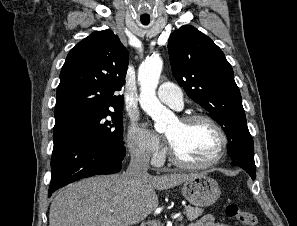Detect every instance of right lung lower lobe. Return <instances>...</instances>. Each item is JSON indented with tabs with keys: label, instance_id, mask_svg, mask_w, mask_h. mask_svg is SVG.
<instances>
[{
	"label": "right lung lower lobe",
	"instance_id": "right-lung-lower-lobe-1",
	"mask_svg": "<svg viewBox=\"0 0 297 226\" xmlns=\"http://www.w3.org/2000/svg\"><path fill=\"white\" fill-rule=\"evenodd\" d=\"M53 140L48 197L58 188L81 178L119 172L126 155L124 145H114L79 132L54 133Z\"/></svg>",
	"mask_w": 297,
	"mask_h": 226
}]
</instances>
